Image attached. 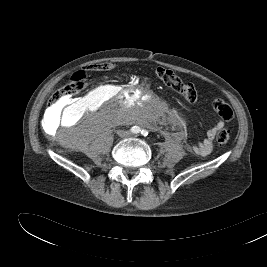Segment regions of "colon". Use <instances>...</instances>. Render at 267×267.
<instances>
[{"label":"colon","instance_id":"obj_1","mask_svg":"<svg viewBox=\"0 0 267 267\" xmlns=\"http://www.w3.org/2000/svg\"><path fill=\"white\" fill-rule=\"evenodd\" d=\"M94 68L99 70H110L113 68V63L95 65ZM155 75L165 86L177 92L187 102L194 103L197 100L198 94L194 85L180 79L172 70L159 67L155 70ZM86 77L84 71L75 73L65 86L58 89L51 96L49 106L55 107L62 104L65 100L70 99L84 86ZM213 110L225 121L231 120L234 116L232 107L223 99H216L213 101ZM229 137V131L221 129L216 135V141L219 145H224L229 141Z\"/></svg>","mask_w":267,"mask_h":267}]
</instances>
